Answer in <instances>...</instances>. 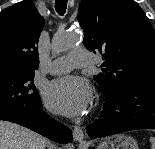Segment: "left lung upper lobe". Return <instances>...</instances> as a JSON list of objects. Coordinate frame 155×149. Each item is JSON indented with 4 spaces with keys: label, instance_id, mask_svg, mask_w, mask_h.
<instances>
[{
    "label": "left lung upper lobe",
    "instance_id": "1",
    "mask_svg": "<svg viewBox=\"0 0 155 149\" xmlns=\"http://www.w3.org/2000/svg\"><path fill=\"white\" fill-rule=\"evenodd\" d=\"M78 21L85 32L84 45L102 53L106 68L94 78L105 92L155 78V33L136 2L82 0Z\"/></svg>",
    "mask_w": 155,
    "mask_h": 149
}]
</instances>
